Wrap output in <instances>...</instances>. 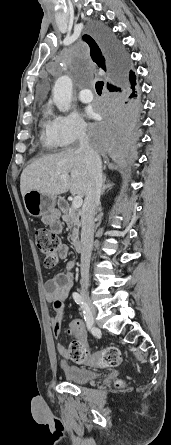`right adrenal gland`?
I'll use <instances>...</instances> for the list:
<instances>
[{"mask_svg":"<svg viewBox=\"0 0 171 445\" xmlns=\"http://www.w3.org/2000/svg\"><path fill=\"white\" fill-rule=\"evenodd\" d=\"M113 183L107 182L106 183V176H104L103 178V182H102V190H101V194L103 195L105 190H109L113 187Z\"/></svg>","mask_w":171,"mask_h":445,"instance_id":"obj_1","label":"right adrenal gland"}]
</instances>
